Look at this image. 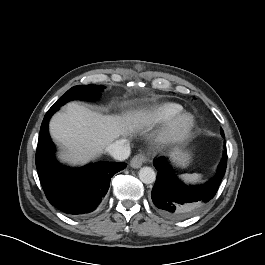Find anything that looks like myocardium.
Wrapping results in <instances>:
<instances>
[{"instance_id": "f54148a6", "label": "myocardium", "mask_w": 265, "mask_h": 265, "mask_svg": "<svg viewBox=\"0 0 265 265\" xmlns=\"http://www.w3.org/2000/svg\"><path fill=\"white\" fill-rule=\"evenodd\" d=\"M194 125V116L190 112L181 111L167 121L164 136L174 141H181L189 135Z\"/></svg>"}]
</instances>
